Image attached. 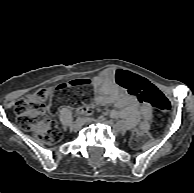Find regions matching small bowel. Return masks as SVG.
I'll list each match as a JSON object with an SVG mask.
<instances>
[{
	"label": "small bowel",
	"instance_id": "obj_1",
	"mask_svg": "<svg viewBox=\"0 0 194 193\" xmlns=\"http://www.w3.org/2000/svg\"><path fill=\"white\" fill-rule=\"evenodd\" d=\"M116 71L114 69H106L92 78L94 105L112 104L114 109L110 112L112 118L128 117L135 121L140 116L143 118L140 132H146L149 128V122L152 117L153 107L150 104L138 107V103L133 94L122 93L115 81ZM158 92L162 93L157 87L151 84ZM92 108L89 105H83L79 108V113L87 115Z\"/></svg>",
	"mask_w": 194,
	"mask_h": 193
}]
</instances>
